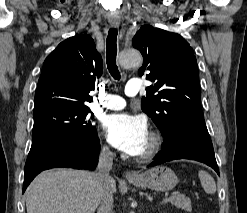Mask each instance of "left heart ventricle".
<instances>
[{
    "label": "left heart ventricle",
    "mask_w": 247,
    "mask_h": 213,
    "mask_svg": "<svg viewBox=\"0 0 247 213\" xmlns=\"http://www.w3.org/2000/svg\"><path fill=\"white\" fill-rule=\"evenodd\" d=\"M149 143H150V138L148 137V140H147L146 146H145V148H144V150L142 151V153H141V154H143V153H145V152H146V150L148 149ZM141 154H140V155H141Z\"/></svg>",
    "instance_id": "b2bd125f"
}]
</instances>
